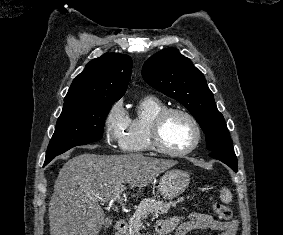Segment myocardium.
I'll return each instance as SVG.
<instances>
[{"instance_id":"f54148a6","label":"myocardium","mask_w":283,"mask_h":235,"mask_svg":"<svg viewBox=\"0 0 283 235\" xmlns=\"http://www.w3.org/2000/svg\"><path fill=\"white\" fill-rule=\"evenodd\" d=\"M174 113L181 114L185 116L192 124L195 132L194 140L192 143L185 149L179 151H173L166 148L160 138V132L164 121ZM202 137L201 127L196 119V117L189 112L188 110L180 107H169L161 111L152 121L150 131H149V140L151 148L162 155L171 156V157H178L190 154L193 152L199 145Z\"/></svg>"}]
</instances>
